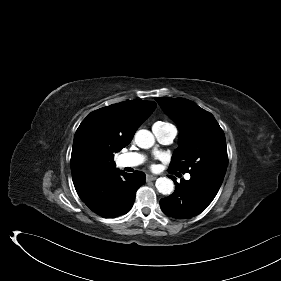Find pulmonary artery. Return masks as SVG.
I'll list each match as a JSON object with an SVG mask.
<instances>
[{
  "label": "pulmonary artery",
  "instance_id": "e3ab8cb5",
  "mask_svg": "<svg viewBox=\"0 0 281 281\" xmlns=\"http://www.w3.org/2000/svg\"><path fill=\"white\" fill-rule=\"evenodd\" d=\"M153 133L157 139V141L161 144L167 145L173 142L176 137L177 130L171 125H154ZM144 161V156L138 153H128L124 154L120 158V164L123 167H136L140 165ZM191 178L190 174L185 175V179L189 180Z\"/></svg>",
  "mask_w": 281,
  "mask_h": 281
}]
</instances>
